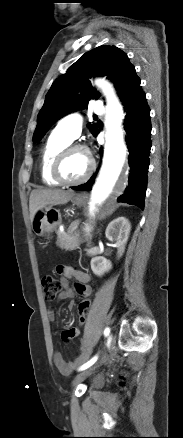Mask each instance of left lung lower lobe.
I'll list each match as a JSON object with an SVG mask.
<instances>
[{
	"label": "left lung lower lobe",
	"mask_w": 183,
	"mask_h": 438,
	"mask_svg": "<svg viewBox=\"0 0 183 438\" xmlns=\"http://www.w3.org/2000/svg\"><path fill=\"white\" fill-rule=\"evenodd\" d=\"M140 79L135 77L120 96L124 109L127 112L124 121L126 142L129 149V183L124 194L118 198L119 202H126L144 208V198L147 188V172L149 167V153L151 149L150 109L146 95L140 86ZM97 133L95 136H97ZM95 177H91L85 184L72 187L78 191H89Z\"/></svg>",
	"instance_id": "1"
}]
</instances>
